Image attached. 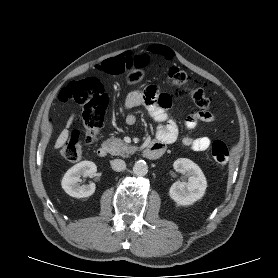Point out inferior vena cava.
<instances>
[{"mask_svg":"<svg viewBox=\"0 0 278 278\" xmlns=\"http://www.w3.org/2000/svg\"><path fill=\"white\" fill-rule=\"evenodd\" d=\"M111 167L114 171H122L126 168L125 161L121 159H114L111 161Z\"/></svg>","mask_w":278,"mask_h":278,"instance_id":"inferior-vena-cava-1","label":"inferior vena cava"}]
</instances>
